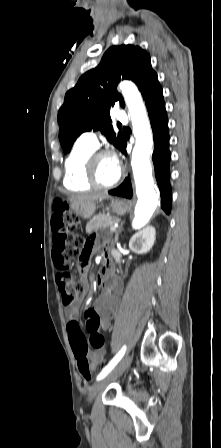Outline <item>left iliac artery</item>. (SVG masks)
Wrapping results in <instances>:
<instances>
[{
    "instance_id": "1",
    "label": "left iliac artery",
    "mask_w": 221,
    "mask_h": 448,
    "mask_svg": "<svg viewBox=\"0 0 221 448\" xmlns=\"http://www.w3.org/2000/svg\"><path fill=\"white\" fill-rule=\"evenodd\" d=\"M126 351V346L124 345L118 354L110 361V363L102 370V372L97 376V380L104 378L121 360Z\"/></svg>"
}]
</instances>
